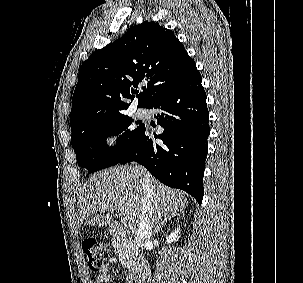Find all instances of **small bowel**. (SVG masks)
Masks as SVG:
<instances>
[{"label": "small bowel", "mask_w": 303, "mask_h": 283, "mask_svg": "<svg viewBox=\"0 0 303 283\" xmlns=\"http://www.w3.org/2000/svg\"><path fill=\"white\" fill-rule=\"evenodd\" d=\"M116 261L117 259L115 257L108 259L107 263L96 276L95 283H107L110 280L109 268L111 265L115 264Z\"/></svg>", "instance_id": "small-bowel-1"}]
</instances>
